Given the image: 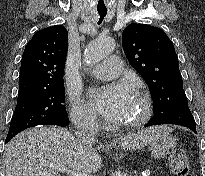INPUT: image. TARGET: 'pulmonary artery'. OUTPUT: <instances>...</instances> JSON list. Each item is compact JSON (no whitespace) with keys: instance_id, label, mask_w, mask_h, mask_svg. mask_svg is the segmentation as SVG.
<instances>
[{"instance_id":"1","label":"pulmonary artery","mask_w":205,"mask_h":176,"mask_svg":"<svg viewBox=\"0 0 205 176\" xmlns=\"http://www.w3.org/2000/svg\"><path fill=\"white\" fill-rule=\"evenodd\" d=\"M123 71V65L118 56H110L100 62L90 72V75L98 79H109L119 76Z\"/></svg>"}]
</instances>
